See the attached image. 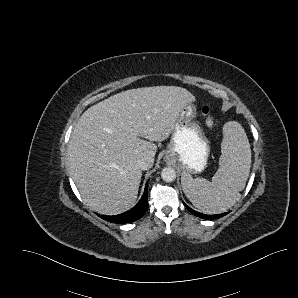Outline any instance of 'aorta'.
Masks as SVG:
<instances>
[{
	"label": "aorta",
	"instance_id": "obj_1",
	"mask_svg": "<svg viewBox=\"0 0 298 298\" xmlns=\"http://www.w3.org/2000/svg\"><path fill=\"white\" fill-rule=\"evenodd\" d=\"M160 176L165 182H173L176 179L177 173L173 167H164L161 170Z\"/></svg>",
	"mask_w": 298,
	"mask_h": 298
}]
</instances>
